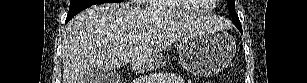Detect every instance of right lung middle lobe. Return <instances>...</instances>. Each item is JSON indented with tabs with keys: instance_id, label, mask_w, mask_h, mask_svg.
Masks as SVG:
<instances>
[{
	"instance_id": "1",
	"label": "right lung middle lobe",
	"mask_w": 307,
	"mask_h": 83,
	"mask_svg": "<svg viewBox=\"0 0 307 83\" xmlns=\"http://www.w3.org/2000/svg\"><path fill=\"white\" fill-rule=\"evenodd\" d=\"M113 2H123V0H71L70 1V9L67 14L68 21L72 19L76 14L80 11L95 5L102 3H113Z\"/></svg>"
}]
</instances>
